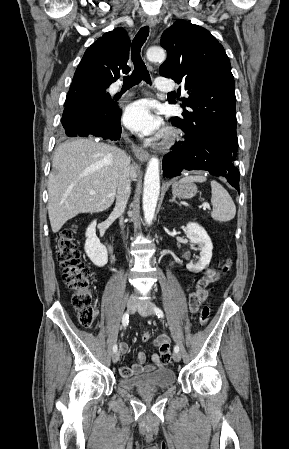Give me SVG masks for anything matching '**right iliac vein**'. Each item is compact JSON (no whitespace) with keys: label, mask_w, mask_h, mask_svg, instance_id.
<instances>
[{"label":"right iliac vein","mask_w":289,"mask_h":449,"mask_svg":"<svg viewBox=\"0 0 289 449\" xmlns=\"http://www.w3.org/2000/svg\"><path fill=\"white\" fill-rule=\"evenodd\" d=\"M137 302L134 296H131L127 302V309L131 313H133L136 310ZM120 354L119 352H114L112 355V361L113 363H117L119 361Z\"/></svg>","instance_id":"obj_1"}]
</instances>
